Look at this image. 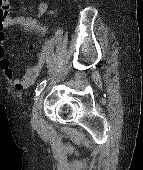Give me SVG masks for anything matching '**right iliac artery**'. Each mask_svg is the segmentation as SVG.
Wrapping results in <instances>:
<instances>
[{
	"label": "right iliac artery",
	"instance_id": "82829eb1",
	"mask_svg": "<svg viewBox=\"0 0 143 170\" xmlns=\"http://www.w3.org/2000/svg\"><path fill=\"white\" fill-rule=\"evenodd\" d=\"M46 86V80L40 82L35 89V96H38Z\"/></svg>",
	"mask_w": 143,
	"mask_h": 170
}]
</instances>
